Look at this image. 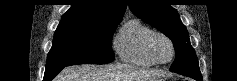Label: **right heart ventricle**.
I'll use <instances>...</instances> for the list:
<instances>
[{"mask_svg":"<svg viewBox=\"0 0 237 81\" xmlns=\"http://www.w3.org/2000/svg\"><path fill=\"white\" fill-rule=\"evenodd\" d=\"M154 31L139 19H130L118 30L114 49L126 63L151 67L156 62L148 51V39Z\"/></svg>","mask_w":237,"mask_h":81,"instance_id":"e07e8e85","label":"right heart ventricle"}]
</instances>
